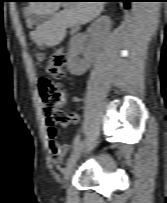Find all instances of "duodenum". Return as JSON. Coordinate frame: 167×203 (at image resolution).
I'll return each mask as SVG.
<instances>
[{"instance_id":"duodenum-1","label":"duodenum","mask_w":167,"mask_h":203,"mask_svg":"<svg viewBox=\"0 0 167 203\" xmlns=\"http://www.w3.org/2000/svg\"><path fill=\"white\" fill-rule=\"evenodd\" d=\"M79 29H80L79 26H77V25H73L72 28H71V33H72V34H75L76 32L79 31Z\"/></svg>"}]
</instances>
